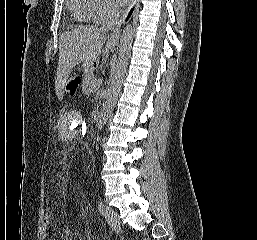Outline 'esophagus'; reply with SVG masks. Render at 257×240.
I'll return each mask as SVG.
<instances>
[{
	"mask_svg": "<svg viewBox=\"0 0 257 240\" xmlns=\"http://www.w3.org/2000/svg\"><path fill=\"white\" fill-rule=\"evenodd\" d=\"M137 0H131L129 6L126 8V10L124 11L121 19L118 22V25L115 27V29L112 31V33L110 34V36L108 37V43L110 44H116L119 41L120 35H121V24L124 21L126 15L128 14V12L131 10V8L134 6V4L136 3Z\"/></svg>",
	"mask_w": 257,
	"mask_h": 240,
	"instance_id": "1",
	"label": "esophagus"
}]
</instances>
